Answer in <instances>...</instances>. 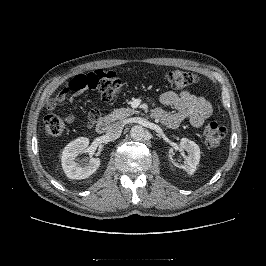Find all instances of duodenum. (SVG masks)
Wrapping results in <instances>:
<instances>
[{"label": "duodenum", "instance_id": "410a0bca", "mask_svg": "<svg viewBox=\"0 0 266 266\" xmlns=\"http://www.w3.org/2000/svg\"><path fill=\"white\" fill-rule=\"evenodd\" d=\"M151 116L155 119L160 120L163 117V113L157 109L151 112ZM95 130L98 134H104L108 131L110 127V120L106 117H100L98 119H94Z\"/></svg>", "mask_w": 266, "mask_h": 266}]
</instances>
